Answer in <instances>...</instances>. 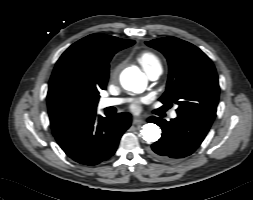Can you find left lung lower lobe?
Here are the masks:
<instances>
[{
    "label": "left lung lower lobe",
    "mask_w": 253,
    "mask_h": 200,
    "mask_svg": "<svg viewBox=\"0 0 253 200\" xmlns=\"http://www.w3.org/2000/svg\"><path fill=\"white\" fill-rule=\"evenodd\" d=\"M213 120L197 114H178L170 121L151 117L149 121L162 128V136L152 144L150 154L168 163L191 155L206 137Z\"/></svg>",
    "instance_id": "left-lung-lower-lobe-1"
}]
</instances>
